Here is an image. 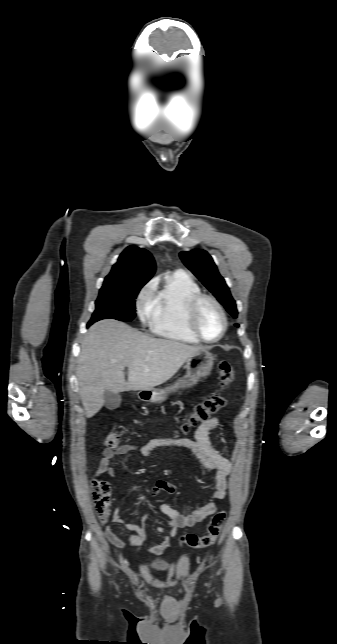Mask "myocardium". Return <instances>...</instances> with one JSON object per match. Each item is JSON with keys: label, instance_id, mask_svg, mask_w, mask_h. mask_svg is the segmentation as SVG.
Segmentation results:
<instances>
[{"label": "myocardium", "instance_id": "obj_1", "mask_svg": "<svg viewBox=\"0 0 337 644\" xmlns=\"http://www.w3.org/2000/svg\"><path fill=\"white\" fill-rule=\"evenodd\" d=\"M205 302H209V303L213 304L217 308V310L219 311L221 319H222L221 332H220L219 336L217 338H215V339H207V338H205L202 335V333L200 332L199 327H198L199 312H200V309H201L202 305ZM187 325H188V328L191 331V333L199 341H201L203 343H207V344H213V343H216V342L220 341L224 337V335H225V333L227 331V327H228V320H227V315H226V312L224 310V307L222 306V304L215 297H213L212 295H209V294L199 293L198 295L194 296L191 299V301H190V303L188 305V309H187Z\"/></svg>", "mask_w": 337, "mask_h": 644}]
</instances>
